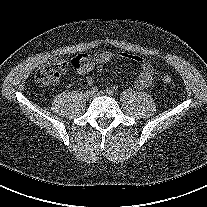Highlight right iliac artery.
Wrapping results in <instances>:
<instances>
[{"label": "right iliac artery", "mask_w": 207, "mask_h": 207, "mask_svg": "<svg viewBox=\"0 0 207 207\" xmlns=\"http://www.w3.org/2000/svg\"><path fill=\"white\" fill-rule=\"evenodd\" d=\"M98 90H99V89H98L96 86H94V87L91 88V92H92V93H97Z\"/></svg>", "instance_id": "82829eb1"}]
</instances>
